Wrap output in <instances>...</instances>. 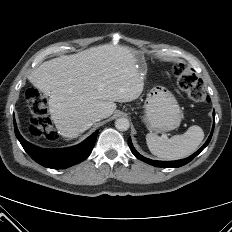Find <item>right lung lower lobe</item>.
Returning a JSON list of instances; mask_svg holds the SVG:
<instances>
[{
	"instance_id": "1",
	"label": "right lung lower lobe",
	"mask_w": 232,
	"mask_h": 232,
	"mask_svg": "<svg viewBox=\"0 0 232 232\" xmlns=\"http://www.w3.org/2000/svg\"><path fill=\"white\" fill-rule=\"evenodd\" d=\"M16 137L20 141L24 150L37 163L44 167L53 169H63L82 162L92 152L98 131L93 133L81 144L63 149H43L27 142L18 132L14 122Z\"/></svg>"
}]
</instances>
